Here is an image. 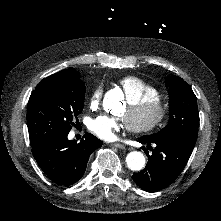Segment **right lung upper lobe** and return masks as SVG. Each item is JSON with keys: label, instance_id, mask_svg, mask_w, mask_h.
Instances as JSON below:
<instances>
[{"label": "right lung upper lobe", "instance_id": "obj_1", "mask_svg": "<svg viewBox=\"0 0 221 221\" xmlns=\"http://www.w3.org/2000/svg\"><path fill=\"white\" fill-rule=\"evenodd\" d=\"M58 74L72 75V74H78V72H76L74 68H69V69L58 72Z\"/></svg>", "mask_w": 221, "mask_h": 221}]
</instances>
